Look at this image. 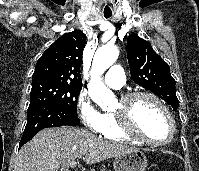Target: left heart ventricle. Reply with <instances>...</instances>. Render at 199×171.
Listing matches in <instances>:
<instances>
[{
  "label": "left heart ventricle",
  "mask_w": 199,
  "mask_h": 171,
  "mask_svg": "<svg viewBox=\"0 0 199 171\" xmlns=\"http://www.w3.org/2000/svg\"><path fill=\"white\" fill-rule=\"evenodd\" d=\"M132 114L135 126L145 137L158 142L169 138L168 118L163 109L153 100L146 97L136 99L133 103Z\"/></svg>",
  "instance_id": "b2bd125f"
}]
</instances>
